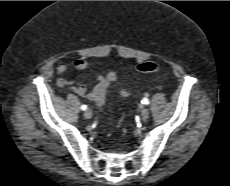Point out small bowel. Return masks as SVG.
<instances>
[{"label": "small bowel", "instance_id": "c3829d8e", "mask_svg": "<svg viewBox=\"0 0 230 186\" xmlns=\"http://www.w3.org/2000/svg\"><path fill=\"white\" fill-rule=\"evenodd\" d=\"M73 66L75 69L81 71L88 70L91 68L90 63L84 59L76 60ZM68 70L69 66L66 64H62L56 68V73L61 75L67 72ZM111 82L112 81L108 79L107 75H98L96 78V83L92 89H88L84 84L75 82L67 78H59L56 84L58 87H66L70 89L72 92L76 93L77 95L91 100L98 105L99 99L106 97V91ZM120 93L124 97L129 95V92H127V90L125 89H122Z\"/></svg>", "mask_w": 230, "mask_h": 186}]
</instances>
